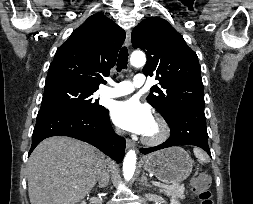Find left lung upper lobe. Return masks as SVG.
Masks as SVG:
<instances>
[{"label":"left lung upper lobe","mask_w":253,"mask_h":204,"mask_svg":"<svg viewBox=\"0 0 253 204\" xmlns=\"http://www.w3.org/2000/svg\"><path fill=\"white\" fill-rule=\"evenodd\" d=\"M132 46L147 55L145 75L156 76L147 101L169 122L179 111L204 106V90L196 53L164 19L149 17L132 31Z\"/></svg>","instance_id":"1"}]
</instances>
